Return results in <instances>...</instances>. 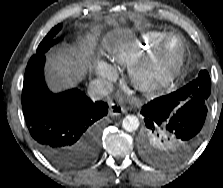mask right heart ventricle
Wrapping results in <instances>:
<instances>
[{"label": "right heart ventricle", "instance_id": "e07e8e85", "mask_svg": "<svg viewBox=\"0 0 223 188\" xmlns=\"http://www.w3.org/2000/svg\"><path fill=\"white\" fill-rule=\"evenodd\" d=\"M167 34L166 31L161 30L144 31L137 38L136 46L134 48L114 51L113 58L117 63L123 66H131L142 56L153 52L163 37Z\"/></svg>", "mask_w": 223, "mask_h": 188}]
</instances>
